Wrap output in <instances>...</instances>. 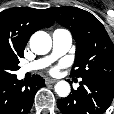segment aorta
Masks as SVG:
<instances>
[{"label": "aorta", "instance_id": "1", "mask_svg": "<svg viewBox=\"0 0 114 114\" xmlns=\"http://www.w3.org/2000/svg\"><path fill=\"white\" fill-rule=\"evenodd\" d=\"M51 47V37L44 31H37L30 38V48L35 54L44 55L50 51ZM70 91V84L66 81H59L55 85V92L60 97H67Z\"/></svg>", "mask_w": 114, "mask_h": 114}]
</instances>
